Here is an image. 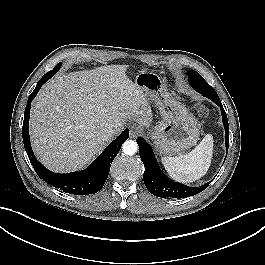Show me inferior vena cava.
<instances>
[{
	"mask_svg": "<svg viewBox=\"0 0 265 265\" xmlns=\"http://www.w3.org/2000/svg\"><path fill=\"white\" fill-rule=\"evenodd\" d=\"M106 132L109 136H113L115 134V128L113 126H109Z\"/></svg>",
	"mask_w": 265,
	"mask_h": 265,
	"instance_id": "1",
	"label": "inferior vena cava"
}]
</instances>
